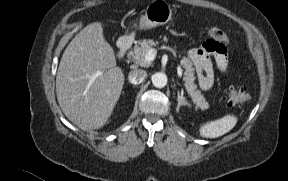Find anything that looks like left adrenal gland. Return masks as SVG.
<instances>
[{
	"label": "left adrenal gland",
	"mask_w": 288,
	"mask_h": 181,
	"mask_svg": "<svg viewBox=\"0 0 288 181\" xmlns=\"http://www.w3.org/2000/svg\"><path fill=\"white\" fill-rule=\"evenodd\" d=\"M177 101H178L177 109H179L180 106H183V105L184 106L187 105L189 107L191 106V104L189 102H187V100L183 96V92H181V95L179 92L177 93Z\"/></svg>",
	"instance_id": "a2214340"
}]
</instances>
